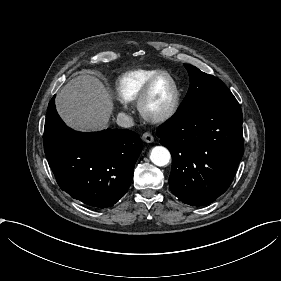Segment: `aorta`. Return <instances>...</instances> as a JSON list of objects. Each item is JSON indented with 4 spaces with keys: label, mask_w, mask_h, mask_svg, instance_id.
<instances>
[{
    "label": "aorta",
    "mask_w": 281,
    "mask_h": 281,
    "mask_svg": "<svg viewBox=\"0 0 281 281\" xmlns=\"http://www.w3.org/2000/svg\"><path fill=\"white\" fill-rule=\"evenodd\" d=\"M171 154L169 150L163 146H156L150 153V160L157 166H165L170 162Z\"/></svg>",
    "instance_id": "obj_1"
}]
</instances>
